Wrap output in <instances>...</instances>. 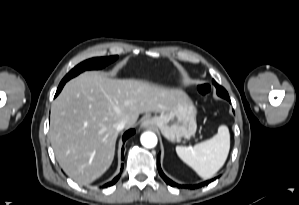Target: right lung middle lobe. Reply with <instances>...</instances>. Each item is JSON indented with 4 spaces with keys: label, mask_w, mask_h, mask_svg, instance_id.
<instances>
[{
    "label": "right lung middle lobe",
    "mask_w": 299,
    "mask_h": 205,
    "mask_svg": "<svg viewBox=\"0 0 299 205\" xmlns=\"http://www.w3.org/2000/svg\"><path fill=\"white\" fill-rule=\"evenodd\" d=\"M118 58V56H110V57H100V58H92L86 60L77 66H75L61 81L60 84H65L69 79L77 76L79 73L90 70V69H101L106 65L112 63Z\"/></svg>",
    "instance_id": "right-lung-middle-lobe-1"
}]
</instances>
